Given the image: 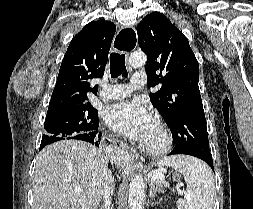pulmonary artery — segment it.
I'll list each match as a JSON object with an SVG mask.
<instances>
[{
	"mask_svg": "<svg viewBox=\"0 0 253 209\" xmlns=\"http://www.w3.org/2000/svg\"><path fill=\"white\" fill-rule=\"evenodd\" d=\"M146 84V74L143 71H137L133 74L130 84H114L104 86L102 96L108 99H118L131 93L133 89H139Z\"/></svg>",
	"mask_w": 253,
	"mask_h": 209,
	"instance_id": "obj_1",
	"label": "pulmonary artery"
}]
</instances>
